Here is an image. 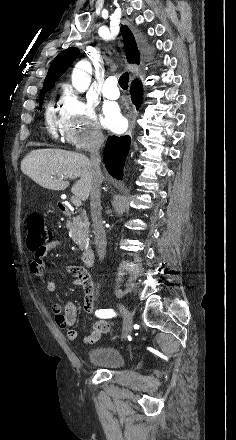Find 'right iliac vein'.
I'll return each mask as SVG.
<instances>
[{
	"label": "right iliac vein",
	"mask_w": 236,
	"mask_h": 440,
	"mask_svg": "<svg viewBox=\"0 0 236 440\" xmlns=\"http://www.w3.org/2000/svg\"><path fill=\"white\" fill-rule=\"evenodd\" d=\"M118 307L123 315V338L125 339L132 329V315L129 309L123 304H118Z\"/></svg>",
	"instance_id": "1"
}]
</instances>
